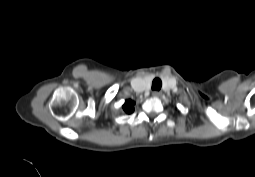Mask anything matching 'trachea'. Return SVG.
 I'll list each match as a JSON object with an SVG mask.
<instances>
[{"label": "trachea", "instance_id": "3493384b", "mask_svg": "<svg viewBox=\"0 0 255 177\" xmlns=\"http://www.w3.org/2000/svg\"><path fill=\"white\" fill-rule=\"evenodd\" d=\"M162 87V81L159 78H155L152 82V90L159 91Z\"/></svg>", "mask_w": 255, "mask_h": 177}]
</instances>
